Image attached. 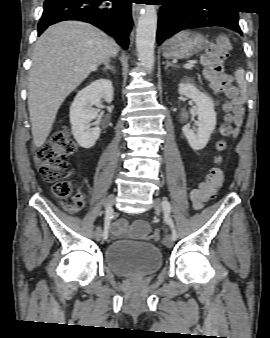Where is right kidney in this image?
<instances>
[{"label":"right kidney","mask_w":270,"mask_h":338,"mask_svg":"<svg viewBox=\"0 0 270 338\" xmlns=\"http://www.w3.org/2000/svg\"><path fill=\"white\" fill-rule=\"evenodd\" d=\"M104 99L113 100V86L108 79H99L78 92L70 107V123L72 134L83 148H91L100 136L99 126L90 127V122L98 114L93 105L100 104Z\"/></svg>","instance_id":"ca27d5eb"}]
</instances>
